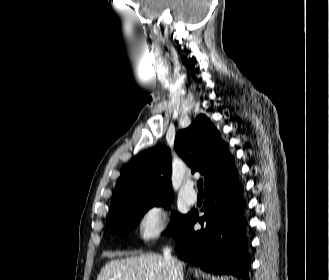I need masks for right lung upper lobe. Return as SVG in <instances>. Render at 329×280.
<instances>
[{
  "label": "right lung upper lobe",
  "instance_id": "obj_1",
  "mask_svg": "<svg viewBox=\"0 0 329 280\" xmlns=\"http://www.w3.org/2000/svg\"><path fill=\"white\" fill-rule=\"evenodd\" d=\"M228 145L204 114L176 134L175 150L192 168L205 176V186L226 172L233 164ZM171 155L169 148L157 145L141 152L124 168L111 201L110 213L139 198L170 196Z\"/></svg>",
  "mask_w": 329,
  "mask_h": 280
}]
</instances>
